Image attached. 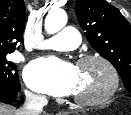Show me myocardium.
Segmentation results:
<instances>
[{
  "label": "myocardium",
  "instance_id": "1",
  "mask_svg": "<svg viewBox=\"0 0 131 115\" xmlns=\"http://www.w3.org/2000/svg\"><path fill=\"white\" fill-rule=\"evenodd\" d=\"M89 62H98L107 69L110 75V85L102 94L98 96L92 98H83V97L74 96L73 100L77 104L82 106H97L105 103L115 95V93L118 91L119 88L120 78H119L118 70L116 69L114 64L106 57L99 54H90L81 57L77 61V66H81Z\"/></svg>",
  "mask_w": 131,
  "mask_h": 115
}]
</instances>
